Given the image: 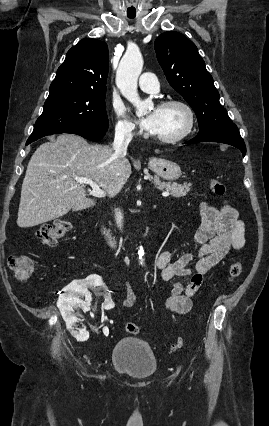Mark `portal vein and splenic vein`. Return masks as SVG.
Here are the masks:
<instances>
[{"label":"portal vein and splenic vein","instance_id":"portal-vein-and-splenic-vein-1","mask_svg":"<svg viewBox=\"0 0 269 426\" xmlns=\"http://www.w3.org/2000/svg\"><path fill=\"white\" fill-rule=\"evenodd\" d=\"M79 183L90 185L92 190L90 194L94 197L102 198L106 196L105 191H103L99 185H97L93 180L85 179V178H76ZM170 195L169 192H163V197H168Z\"/></svg>","mask_w":269,"mask_h":426}]
</instances>
